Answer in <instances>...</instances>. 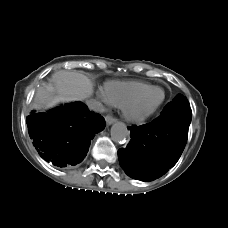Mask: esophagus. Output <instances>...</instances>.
Segmentation results:
<instances>
[{"instance_id": "esophagus-1", "label": "esophagus", "mask_w": 228, "mask_h": 228, "mask_svg": "<svg viewBox=\"0 0 228 228\" xmlns=\"http://www.w3.org/2000/svg\"><path fill=\"white\" fill-rule=\"evenodd\" d=\"M105 120H106V124L107 125H111V124H113L114 122H116V118L115 117H113L112 115H107L106 117H105Z\"/></svg>"}]
</instances>
